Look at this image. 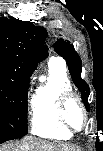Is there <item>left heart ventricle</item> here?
<instances>
[{"instance_id": "b2bd125f", "label": "left heart ventricle", "mask_w": 103, "mask_h": 151, "mask_svg": "<svg viewBox=\"0 0 103 151\" xmlns=\"http://www.w3.org/2000/svg\"><path fill=\"white\" fill-rule=\"evenodd\" d=\"M67 116L69 121L76 127L83 124V113L75 101H71L67 107Z\"/></svg>"}]
</instances>
